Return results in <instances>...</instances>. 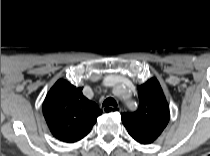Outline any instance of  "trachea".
<instances>
[{
    "mask_svg": "<svg viewBox=\"0 0 210 156\" xmlns=\"http://www.w3.org/2000/svg\"><path fill=\"white\" fill-rule=\"evenodd\" d=\"M102 106H115L116 107L117 103L114 98L109 97L103 102Z\"/></svg>",
    "mask_w": 210,
    "mask_h": 156,
    "instance_id": "obj_1",
    "label": "trachea"
}]
</instances>
